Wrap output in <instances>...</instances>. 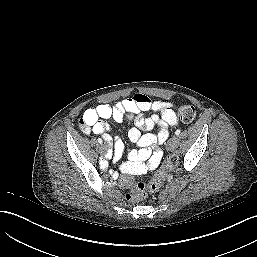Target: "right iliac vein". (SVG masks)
Masks as SVG:
<instances>
[{
	"label": "right iliac vein",
	"instance_id": "1",
	"mask_svg": "<svg viewBox=\"0 0 257 257\" xmlns=\"http://www.w3.org/2000/svg\"><path fill=\"white\" fill-rule=\"evenodd\" d=\"M106 149H107L106 145H104V144H101V145H100V150H101L102 152H105Z\"/></svg>",
	"mask_w": 257,
	"mask_h": 257
}]
</instances>
